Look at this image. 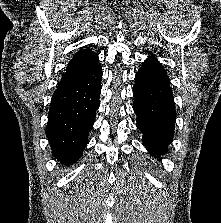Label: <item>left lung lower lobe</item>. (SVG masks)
<instances>
[{
  "instance_id": "left-lung-lower-lobe-1",
  "label": "left lung lower lobe",
  "mask_w": 221,
  "mask_h": 223,
  "mask_svg": "<svg viewBox=\"0 0 221 223\" xmlns=\"http://www.w3.org/2000/svg\"><path fill=\"white\" fill-rule=\"evenodd\" d=\"M133 96L143 144L153 155L164 154L174 136L176 111L168 75L155 58H147L137 72Z\"/></svg>"
}]
</instances>
